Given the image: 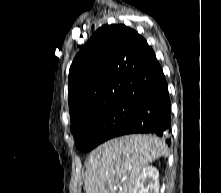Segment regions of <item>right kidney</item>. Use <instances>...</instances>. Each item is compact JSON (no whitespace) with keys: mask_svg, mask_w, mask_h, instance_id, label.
Listing matches in <instances>:
<instances>
[{"mask_svg":"<svg viewBox=\"0 0 221 193\" xmlns=\"http://www.w3.org/2000/svg\"><path fill=\"white\" fill-rule=\"evenodd\" d=\"M159 172L153 166H147L138 176L133 193H159Z\"/></svg>","mask_w":221,"mask_h":193,"instance_id":"1","label":"right kidney"}]
</instances>
